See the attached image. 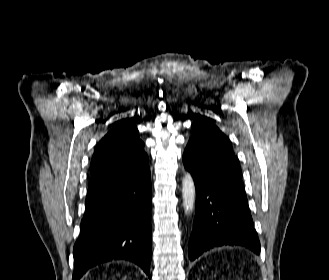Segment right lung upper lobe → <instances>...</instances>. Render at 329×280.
<instances>
[{
  "label": "right lung upper lobe",
  "mask_w": 329,
  "mask_h": 280,
  "mask_svg": "<svg viewBox=\"0 0 329 280\" xmlns=\"http://www.w3.org/2000/svg\"><path fill=\"white\" fill-rule=\"evenodd\" d=\"M144 143L131 119H122L97 144L91 161V179L120 171L148 167Z\"/></svg>",
  "instance_id": "right-lung-upper-lobe-1"
}]
</instances>
